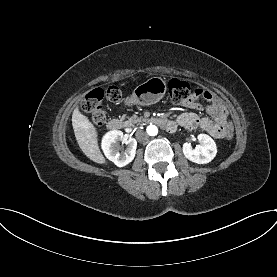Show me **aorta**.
Listing matches in <instances>:
<instances>
[{
    "label": "aorta",
    "mask_w": 277,
    "mask_h": 277,
    "mask_svg": "<svg viewBox=\"0 0 277 277\" xmlns=\"http://www.w3.org/2000/svg\"><path fill=\"white\" fill-rule=\"evenodd\" d=\"M146 131L150 136H155L158 134V128L155 125H149Z\"/></svg>",
    "instance_id": "1"
}]
</instances>
